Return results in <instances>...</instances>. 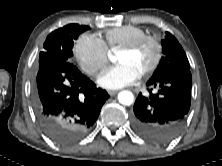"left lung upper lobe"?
Returning <instances> with one entry per match:
<instances>
[{"instance_id": "5c2ea615", "label": "left lung upper lobe", "mask_w": 222, "mask_h": 166, "mask_svg": "<svg viewBox=\"0 0 222 166\" xmlns=\"http://www.w3.org/2000/svg\"><path fill=\"white\" fill-rule=\"evenodd\" d=\"M163 56L153 76H161L170 72L190 70L187 56L178 40L169 32L161 41Z\"/></svg>"}]
</instances>
